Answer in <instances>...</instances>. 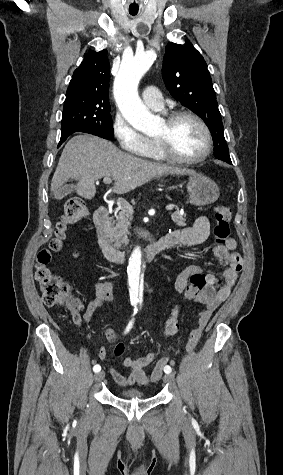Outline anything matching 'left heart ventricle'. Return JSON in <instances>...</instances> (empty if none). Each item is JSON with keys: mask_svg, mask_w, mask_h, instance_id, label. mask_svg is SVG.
Instances as JSON below:
<instances>
[{"mask_svg": "<svg viewBox=\"0 0 283 475\" xmlns=\"http://www.w3.org/2000/svg\"><path fill=\"white\" fill-rule=\"evenodd\" d=\"M154 138L168 140L166 151L175 157L189 158L202 152L205 145V133L192 118L183 117L175 122L170 132L166 121Z\"/></svg>", "mask_w": 283, "mask_h": 475, "instance_id": "1", "label": "left heart ventricle"}]
</instances>
